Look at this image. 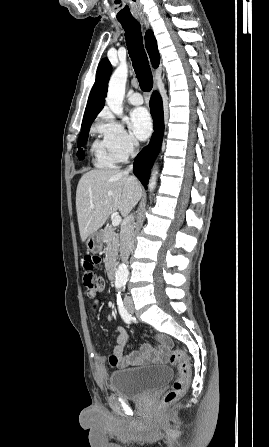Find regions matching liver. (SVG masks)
I'll return each instance as SVG.
<instances>
[{
    "label": "liver",
    "instance_id": "liver-1",
    "mask_svg": "<svg viewBox=\"0 0 269 447\" xmlns=\"http://www.w3.org/2000/svg\"><path fill=\"white\" fill-rule=\"evenodd\" d=\"M142 198V186L120 170H90L83 174L76 192V210L82 241L119 210L125 218Z\"/></svg>",
    "mask_w": 269,
    "mask_h": 447
}]
</instances>
